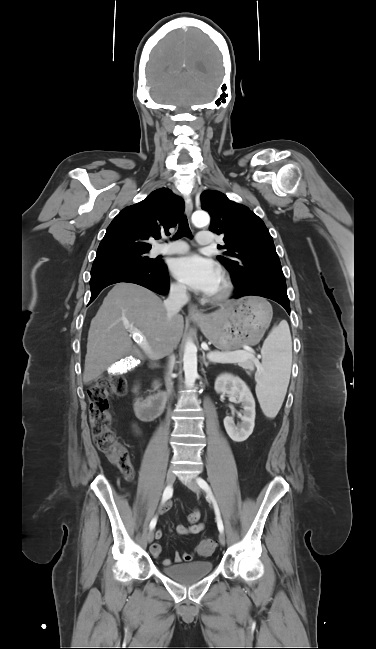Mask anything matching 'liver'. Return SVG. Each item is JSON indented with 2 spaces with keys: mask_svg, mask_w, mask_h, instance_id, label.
I'll return each mask as SVG.
<instances>
[{
  "mask_svg": "<svg viewBox=\"0 0 376 649\" xmlns=\"http://www.w3.org/2000/svg\"><path fill=\"white\" fill-rule=\"evenodd\" d=\"M129 326L146 339L150 349L146 354L162 359L179 344L184 319L180 314L168 318L164 303L152 291L132 283H117L90 324L83 374L85 384L99 378L125 355L143 358L133 345Z\"/></svg>",
  "mask_w": 376,
  "mask_h": 649,
  "instance_id": "6515ba94",
  "label": "liver"
}]
</instances>
